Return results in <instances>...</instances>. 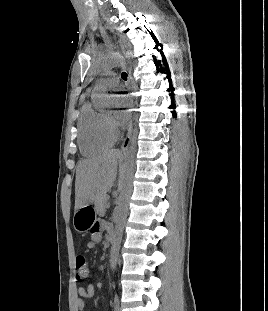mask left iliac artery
<instances>
[{"label":"left iliac artery","mask_w":268,"mask_h":311,"mask_svg":"<svg viewBox=\"0 0 268 311\" xmlns=\"http://www.w3.org/2000/svg\"><path fill=\"white\" fill-rule=\"evenodd\" d=\"M114 311H120L119 309V299L117 294L114 296Z\"/></svg>","instance_id":"1"}]
</instances>
